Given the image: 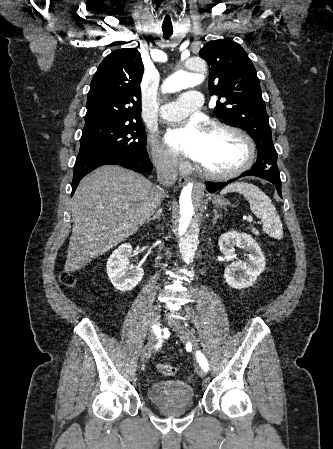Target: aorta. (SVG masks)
<instances>
[{
	"label": "aorta",
	"mask_w": 333,
	"mask_h": 449,
	"mask_svg": "<svg viewBox=\"0 0 333 449\" xmlns=\"http://www.w3.org/2000/svg\"><path fill=\"white\" fill-rule=\"evenodd\" d=\"M182 64L185 69L169 76L161 86L162 91L171 93L202 83L203 76L207 72V63L202 57H188ZM204 191V183L188 182L180 194V220L177 238L182 259L186 264L193 262L198 246L199 220L197 212L201 206Z\"/></svg>",
	"instance_id": "1"
}]
</instances>
